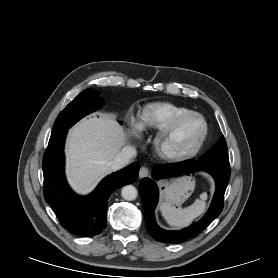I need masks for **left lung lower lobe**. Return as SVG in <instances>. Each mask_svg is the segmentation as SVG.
Segmentation results:
<instances>
[{
    "instance_id": "1",
    "label": "left lung lower lobe",
    "mask_w": 278,
    "mask_h": 278,
    "mask_svg": "<svg viewBox=\"0 0 278 278\" xmlns=\"http://www.w3.org/2000/svg\"><path fill=\"white\" fill-rule=\"evenodd\" d=\"M206 171L216 182V191L211 206L206 215L198 222L181 231H168L160 228L154 217V210L158 202V188L156 183L148 178H143L139 185V193L143 204L144 218L147 231L159 242L181 243L197 236L208 226L223 209V199L227 184L230 179V169H222L209 166L195 160H186L173 164H158L153 168V178H167L171 176L186 174L192 171Z\"/></svg>"
}]
</instances>
